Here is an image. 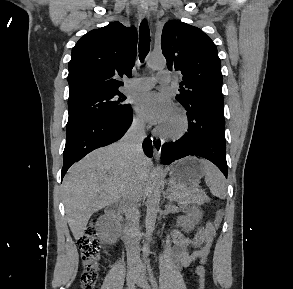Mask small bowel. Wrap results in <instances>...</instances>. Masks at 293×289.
Listing matches in <instances>:
<instances>
[{
	"mask_svg": "<svg viewBox=\"0 0 293 289\" xmlns=\"http://www.w3.org/2000/svg\"><path fill=\"white\" fill-rule=\"evenodd\" d=\"M183 212L195 217L200 215L190 208H183ZM215 234L216 229L210 222L198 227L192 238L186 237L178 230H173L171 236L174 248L171 255L175 266L182 269L190 266L195 260H199L201 264L196 268V274L198 278L205 276L204 264L212 249ZM190 248H193L194 251L190 252Z\"/></svg>",
	"mask_w": 293,
	"mask_h": 289,
	"instance_id": "c3829d8e",
	"label": "small bowel"
}]
</instances>
